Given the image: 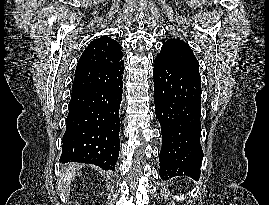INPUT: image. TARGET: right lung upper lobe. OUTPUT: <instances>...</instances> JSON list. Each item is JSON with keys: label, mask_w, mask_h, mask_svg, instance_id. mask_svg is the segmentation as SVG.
Segmentation results:
<instances>
[{"label": "right lung upper lobe", "mask_w": 269, "mask_h": 205, "mask_svg": "<svg viewBox=\"0 0 269 205\" xmlns=\"http://www.w3.org/2000/svg\"><path fill=\"white\" fill-rule=\"evenodd\" d=\"M121 45L108 36L93 40L82 53L76 67L72 91L110 86L123 78Z\"/></svg>", "instance_id": "1"}]
</instances>
